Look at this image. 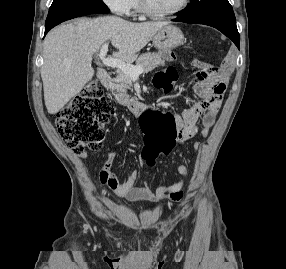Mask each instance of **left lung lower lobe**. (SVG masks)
I'll return each mask as SVG.
<instances>
[{
    "label": "left lung lower lobe",
    "instance_id": "obj_1",
    "mask_svg": "<svg viewBox=\"0 0 286 269\" xmlns=\"http://www.w3.org/2000/svg\"><path fill=\"white\" fill-rule=\"evenodd\" d=\"M173 21L184 22V23H199L212 26L220 30L224 35L229 37L239 49L240 37L236 26V21L233 20H223V19H194V20H185L180 17L173 19Z\"/></svg>",
    "mask_w": 286,
    "mask_h": 269
}]
</instances>
